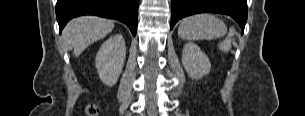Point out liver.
<instances>
[{
  "mask_svg": "<svg viewBox=\"0 0 305 116\" xmlns=\"http://www.w3.org/2000/svg\"><path fill=\"white\" fill-rule=\"evenodd\" d=\"M114 28L111 20L95 16H84L71 20L63 30L66 43L73 47L78 57L89 45L104 38Z\"/></svg>",
  "mask_w": 305,
  "mask_h": 116,
  "instance_id": "liver-1",
  "label": "liver"
}]
</instances>
